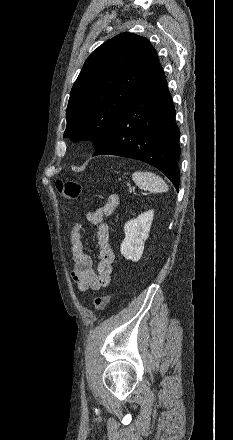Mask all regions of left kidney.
Returning a JSON list of instances; mask_svg holds the SVG:
<instances>
[{
  "label": "left kidney",
  "instance_id": "1",
  "mask_svg": "<svg viewBox=\"0 0 233 440\" xmlns=\"http://www.w3.org/2000/svg\"><path fill=\"white\" fill-rule=\"evenodd\" d=\"M153 217L154 211L150 210L125 223V238L120 247V252L125 259L137 262L142 257L144 243L149 237Z\"/></svg>",
  "mask_w": 233,
  "mask_h": 440
}]
</instances>
